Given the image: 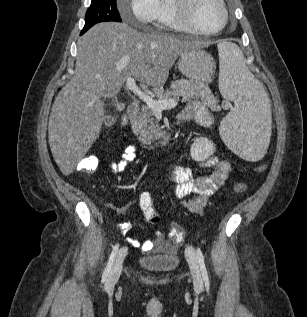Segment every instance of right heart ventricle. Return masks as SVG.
Returning <instances> with one entry per match:
<instances>
[{
	"label": "right heart ventricle",
	"mask_w": 307,
	"mask_h": 317,
	"mask_svg": "<svg viewBox=\"0 0 307 317\" xmlns=\"http://www.w3.org/2000/svg\"><path fill=\"white\" fill-rule=\"evenodd\" d=\"M160 8V16L156 24V26L159 29L172 31H186L177 20L172 0H161Z\"/></svg>",
	"instance_id": "obj_1"
}]
</instances>
